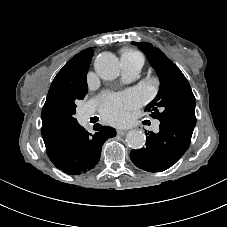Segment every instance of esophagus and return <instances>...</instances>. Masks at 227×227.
<instances>
[{"instance_id": "1", "label": "esophagus", "mask_w": 227, "mask_h": 227, "mask_svg": "<svg viewBox=\"0 0 227 227\" xmlns=\"http://www.w3.org/2000/svg\"><path fill=\"white\" fill-rule=\"evenodd\" d=\"M128 130H117V134L120 135V136H124L125 134H127Z\"/></svg>"}]
</instances>
